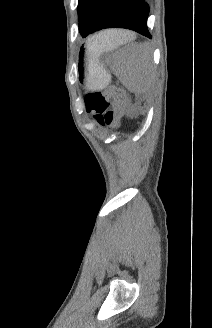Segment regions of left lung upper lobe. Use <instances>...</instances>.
<instances>
[{
    "instance_id": "left-lung-upper-lobe-1",
    "label": "left lung upper lobe",
    "mask_w": 212,
    "mask_h": 328,
    "mask_svg": "<svg viewBox=\"0 0 212 328\" xmlns=\"http://www.w3.org/2000/svg\"><path fill=\"white\" fill-rule=\"evenodd\" d=\"M105 0H79V31L83 37L91 30Z\"/></svg>"
}]
</instances>
